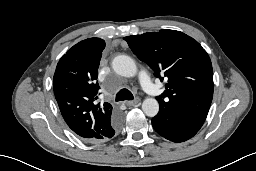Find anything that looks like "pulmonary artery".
Segmentation results:
<instances>
[{"label": "pulmonary artery", "mask_w": 256, "mask_h": 171, "mask_svg": "<svg viewBox=\"0 0 256 171\" xmlns=\"http://www.w3.org/2000/svg\"><path fill=\"white\" fill-rule=\"evenodd\" d=\"M140 84L145 92L151 96H157L159 94L158 89L152 83L150 77L145 71L140 72Z\"/></svg>", "instance_id": "obj_1"}]
</instances>
